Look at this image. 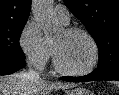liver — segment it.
Instances as JSON below:
<instances>
[{"mask_svg":"<svg viewBox=\"0 0 119 95\" xmlns=\"http://www.w3.org/2000/svg\"><path fill=\"white\" fill-rule=\"evenodd\" d=\"M25 72L0 76V95H49L52 90L71 88L73 84L48 82L44 79L31 80Z\"/></svg>","mask_w":119,"mask_h":95,"instance_id":"1","label":"liver"}]
</instances>
